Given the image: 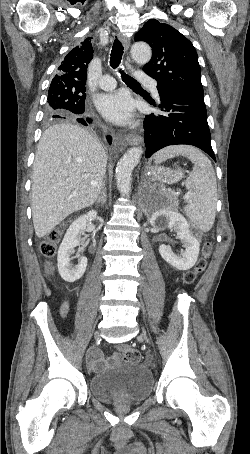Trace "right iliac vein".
I'll list each match as a JSON object with an SVG mask.
<instances>
[{
	"label": "right iliac vein",
	"mask_w": 250,
	"mask_h": 454,
	"mask_svg": "<svg viewBox=\"0 0 250 454\" xmlns=\"http://www.w3.org/2000/svg\"><path fill=\"white\" fill-rule=\"evenodd\" d=\"M99 337V334L98 333H95V338H98Z\"/></svg>",
	"instance_id": "1"
}]
</instances>
